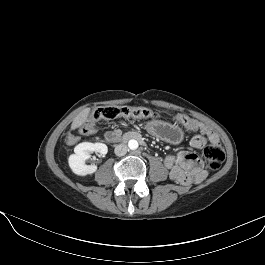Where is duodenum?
Masks as SVG:
<instances>
[{
	"label": "duodenum",
	"mask_w": 265,
	"mask_h": 265,
	"mask_svg": "<svg viewBox=\"0 0 265 265\" xmlns=\"http://www.w3.org/2000/svg\"><path fill=\"white\" fill-rule=\"evenodd\" d=\"M132 139L133 140H137V141H139V142L144 144V141H143V138H142L141 134L136 132V131H130V132L125 133L124 135H122L120 137L119 142L120 143H125V142H127L129 140H132Z\"/></svg>",
	"instance_id": "obj_1"
}]
</instances>
